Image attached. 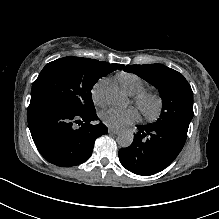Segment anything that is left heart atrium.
I'll return each mask as SVG.
<instances>
[{
	"mask_svg": "<svg viewBox=\"0 0 219 219\" xmlns=\"http://www.w3.org/2000/svg\"><path fill=\"white\" fill-rule=\"evenodd\" d=\"M101 118L107 126L122 129L139 119V111L135 107L126 109L110 108L101 114Z\"/></svg>",
	"mask_w": 219,
	"mask_h": 219,
	"instance_id": "39dd6f15",
	"label": "left heart atrium"
}]
</instances>
